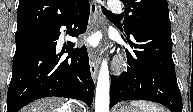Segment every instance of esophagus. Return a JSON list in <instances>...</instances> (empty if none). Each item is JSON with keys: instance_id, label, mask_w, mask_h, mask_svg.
<instances>
[{"instance_id": "34e87169", "label": "esophagus", "mask_w": 193, "mask_h": 112, "mask_svg": "<svg viewBox=\"0 0 193 112\" xmlns=\"http://www.w3.org/2000/svg\"><path fill=\"white\" fill-rule=\"evenodd\" d=\"M99 0H92L90 2V10H91V16L93 23H96L98 25V18L100 17L99 14ZM89 64H90V71L91 76L94 81H96L98 69H99V63H98V56L97 54L90 52L89 53Z\"/></svg>"}]
</instances>
